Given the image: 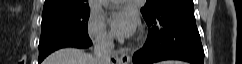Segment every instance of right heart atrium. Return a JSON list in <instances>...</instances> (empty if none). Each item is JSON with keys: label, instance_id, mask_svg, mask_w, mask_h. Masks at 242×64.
Returning a JSON list of instances; mask_svg holds the SVG:
<instances>
[{"label": "right heart atrium", "instance_id": "d8ad5b80", "mask_svg": "<svg viewBox=\"0 0 242 64\" xmlns=\"http://www.w3.org/2000/svg\"><path fill=\"white\" fill-rule=\"evenodd\" d=\"M87 29L89 35L92 39L98 44H107L110 41V37L106 30L104 20L96 15L91 14L88 23Z\"/></svg>", "mask_w": 242, "mask_h": 64}]
</instances>
